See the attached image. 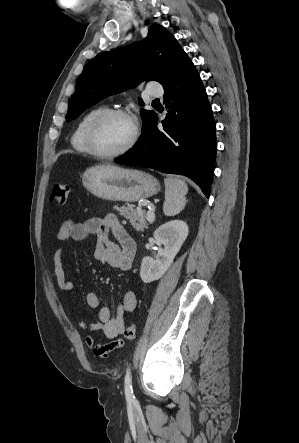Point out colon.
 <instances>
[{
	"label": "colon",
	"instance_id": "colon-1",
	"mask_svg": "<svg viewBox=\"0 0 299 443\" xmlns=\"http://www.w3.org/2000/svg\"><path fill=\"white\" fill-rule=\"evenodd\" d=\"M70 192V186L66 182L56 183L50 193V202L56 205H65ZM137 335V329L134 324L129 325L124 331V337L127 340H134Z\"/></svg>",
	"mask_w": 299,
	"mask_h": 443
}]
</instances>
